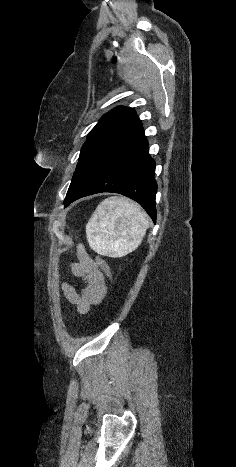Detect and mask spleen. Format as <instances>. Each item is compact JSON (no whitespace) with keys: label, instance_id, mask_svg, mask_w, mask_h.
Instances as JSON below:
<instances>
[{"label":"spleen","instance_id":"3e777b00","mask_svg":"<svg viewBox=\"0 0 236 467\" xmlns=\"http://www.w3.org/2000/svg\"><path fill=\"white\" fill-rule=\"evenodd\" d=\"M148 227V217L138 205L122 197H110L89 219L86 235L95 252L118 258L140 245Z\"/></svg>","mask_w":236,"mask_h":467}]
</instances>
